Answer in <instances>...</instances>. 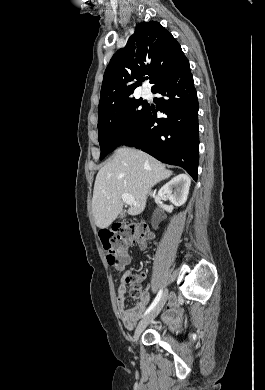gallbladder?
<instances>
[{
	"mask_svg": "<svg viewBox=\"0 0 265 390\" xmlns=\"http://www.w3.org/2000/svg\"><path fill=\"white\" fill-rule=\"evenodd\" d=\"M125 213H126L125 211L121 212V214H120L121 219L125 216Z\"/></svg>",
	"mask_w": 265,
	"mask_h": 390,
	"instance_id": "1",
	"label": "gallbladder"
}]
</instances>
